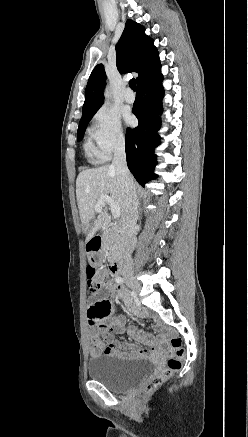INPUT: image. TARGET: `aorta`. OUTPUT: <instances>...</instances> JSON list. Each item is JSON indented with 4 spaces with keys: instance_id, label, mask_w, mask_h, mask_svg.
<instances>
[{
    "instance_id": "aorta-1",
    "label": "aorta",
    "mask_w": 248,
    "mask_h": 437,
    "mask_svg": "<svg viewBox=\"0 0 248 437\" xmlns=\"http://www.w3.org/2000/svg\"><path fill=\"white\" fill-rule=\"evenodd\" d=\"M105 97H106V99H109V94L107 91L105 92Z\"/></svg>"
}]
</instances>
